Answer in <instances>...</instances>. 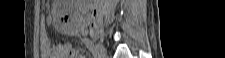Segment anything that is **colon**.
I'll use <instances>...</instances> for the list:
<instances>
[{"label": "colon", "mask_w": 225, "mask_h": 58, "mask_svg": "<svg viewBox=\"0 0 225 58\" xmlns=\"http://www.w3.org/2000/svg\"><path fill=\"white\" fill-rule=\"evenodd\" d=\"M74 58H88V53L81 47L74 49Z\"/></svg>", "instance_id": "colon-1"}]
</instances>
